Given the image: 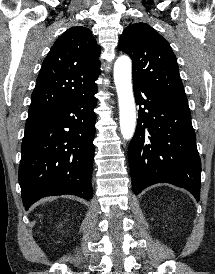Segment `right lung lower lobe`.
I'll list each match as a JSON object with an SVG mask.
<instances>
[{
    "instance_id": "obj_1",
    "label": "right lung lower lobe",
    "mask_w": 215,
    "mask_h": 274,
    "mask_svg": "<svg viewBox=\"0 0 215 274\" xmlns=\"http://www.w3.org/2000/svg\"><path fill=\"white\" fill-rule=\"evenodd\" d=\"M96 85L25 126L19 184L25 209L45 196H93Z\"/></svg>"
}]
</instances>
